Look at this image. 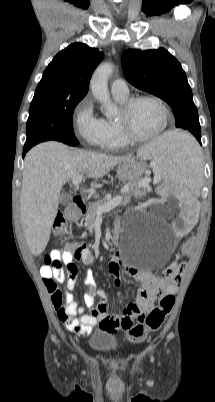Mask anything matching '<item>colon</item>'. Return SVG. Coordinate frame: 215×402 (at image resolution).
Returning <instances> with one entry per match:
<instances>
[{
  "instance_id": "colon-1",
  "label": "colon",
  "mask_w": 215,
  "mask_h": 402,
  "mask_svg": "<svg viewBox=\"0 0 215 402\" xmlns=\"http://www.w3.org/2000/svg\"><path fill=\"white\" fill-rule=\"evenodd\" d=\"M66 232V221L62 214H58L54 221V233L56 236H61ZM197 237L192 235L186 241L185 244L180 246V253L184 254V258H189V253L194 249V244L197 242ZM77 244L75 241H64L62 248L64 250H75ZM79 257V253L76 254V258ZM45 265L50 267L61 266L62 263L54 259L52 255H48L45 258ZM184 265L182 263L172 265L168 267L164 274L175 276L182 272ZM67 269H73V265L67 264ZM45 286L51 295V299L54 307L57 310L62 308V293L58 288L56 282L52 278L44 279ZM174 305V297L166 295L160 299L159 305L153 308L146 317L139 320L134 324L127 333L128 339L132 342H138L143 340L147 334L151 331H156L163 324L166 316L170 313Z\"/></svg>"
}]
</instances>
